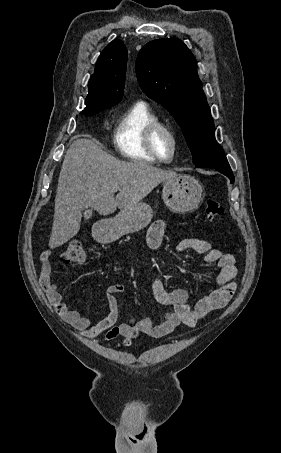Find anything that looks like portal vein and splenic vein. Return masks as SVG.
<instances>
[{
  "label": "portal vein and splenic vein",
  "mask_w": 281,
  "mask_h": 453,
  "mask_svg": "<svg viewBox=\"0 0 281 453\" xmlns=\"http://www.w3.org/2000/svg\"><path fill=\"white\" fill-rule=\"evenodd\" d=\"M119 186H112V190L113 192H116V190H118Z\"/></svg>",
  "instance_id": "obj_1"
}]
</instances>
